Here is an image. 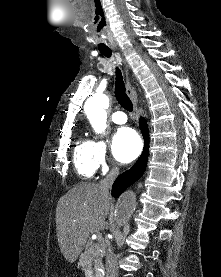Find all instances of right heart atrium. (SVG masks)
Here are the masks:
<instances>
[{"label":"right heart atrium","mask_w":221,"mask_h":277,"mask_svg":"<svg viewBox=\"0 0 221 277\" xmlns=\"http://www.w3.org/2000/svg\"><path fill=\"white\" fill-rule=\"evenodd\" d=\"M94 142V158L97 168L106 171L109 168L108 146L105 140L97 139Z\"/></svg>","instance_id":"1"}]
</instances>
